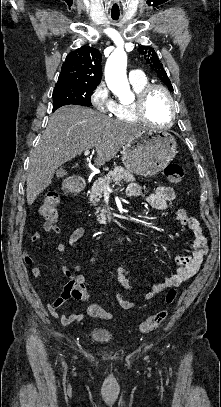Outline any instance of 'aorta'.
Returning a JSON list of instances; mask_svg holds the SVG:
<instances>
[{"mask_svg":"<svg viewBox=\"0 0 221 407\" xmlns=\"http://www.w3.org/2000/svg\"><path fill=\"white\" fill-rule=\"evenodd\" d=\"M126 67L127 55L123 48L119 47L107 59L105 80L109 89L121 100L130 99L133 96L126 75Z\"/></svg>","mask_w":221,"mask_h":407,"instance_id":"obj_1","label":"aorta"}]
</instances>
